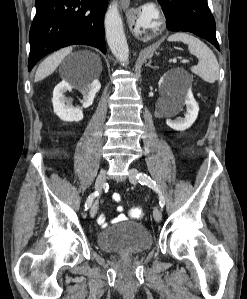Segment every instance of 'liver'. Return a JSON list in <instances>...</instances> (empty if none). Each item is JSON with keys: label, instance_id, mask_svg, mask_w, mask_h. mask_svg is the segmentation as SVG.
<instances>
[{"label": "liver", "instance_id": "liver-1", "mask_svg": "<svg viewBox=\"0 0 247 299\" xmlns=\"http://www.w3.org/2000/svg\"><path fill=\"white\" fill-rule=\"evenodd\" d=\"M72 51V47H66L56 51L55 53L48 56L38 67L36 74H35V82L41 81L44 78L51 75L57 67L60 65L62 60L70 54ZM97 61L100 63V59L97 55L93 54Z\"/></svg>", "mask_w": 247, "mask_h": 299}]
</instances>
